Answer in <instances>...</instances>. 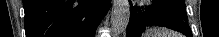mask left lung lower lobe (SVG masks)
Instances as JSON below:
<instances>
[{
  "instance_id": "left-lung-lower-lobe-1",
  "label": "left lung lower lobe",
  "mask_w": 219,
  "mask_h": 37,
  "mask_svg": "<svg viewBox=\"0 0 219 37\" xmlns=\"http://www.w3.org/2000/svg\"><path fill=\"white\" fill-rule=\"evenodd\" d=\"M165 26L179 31L187 37H193L188 21L178 12L168 6L161 5L153 0V4L146 11L130 8V20L127 26L126 37H140L149 26Z\"/></svg>"
}]
</instances>
